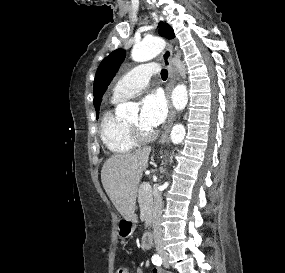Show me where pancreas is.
Returning <instances> with one entry per match:
<instances>
[{
	"label": "pancreas",
	"instance_id": "1",
	"mask_svg": "<svg viewBox=\"0 0 285 273\" xmlns=\"http://www.w3.org/2000/svg\"><path fill=\"white\" fill-rule=\"evenodd\" d=\"M138 202L140 205V210L144 214V220L146 223V227H148L151 221V211H152V204H153L152 190L145 191L143 189V185H141L138 189Z\"/></svg>",
	"mask_w": 285,
	"mask_h": 273
}]
</instances>
